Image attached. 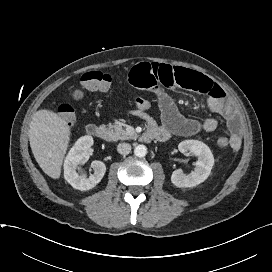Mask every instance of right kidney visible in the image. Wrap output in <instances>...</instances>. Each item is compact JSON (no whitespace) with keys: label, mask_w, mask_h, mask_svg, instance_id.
Here are the masks:
<instances>
[{"label":"right kidney","mask_w":272,"mask_h":272,"mask_svg":"<svg viewBox=\"0 0 272 272\" xmlns=\"http://www.w3.org/2000/svg\"><path fill=\"white\" fill-rule=\"evenodd\" d=\"M93 145V138L89 135L79 138L70 149L64 161V178L75 189L86 191L95 187L103 178L106 166L102 161L92 162L93 174H78L76 169L89 159L87 150Z\"/></svg>","instance_id":"obj_1"}]
</instances>
